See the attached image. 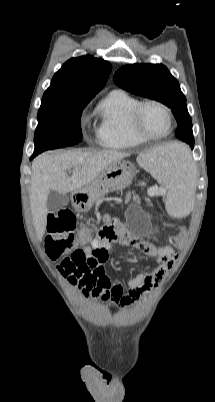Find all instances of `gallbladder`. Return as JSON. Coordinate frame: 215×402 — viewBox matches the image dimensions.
<instances>
[{"label":"gallbladder","mask_w":215,"mask_h":402,"mask_svg":"<svg viewBox=\"0 0 215 402\" xmlns=\"http://www.w3.org/2000/svg\"><path fill=\"white\" fill-rule=\"evenodd\" d=\"M69 202V197L66 194L51 190L47 198V209L49 211L59 210L66 206Z\"/></svg>","instance_id":"obj_1"}]
</instances>
